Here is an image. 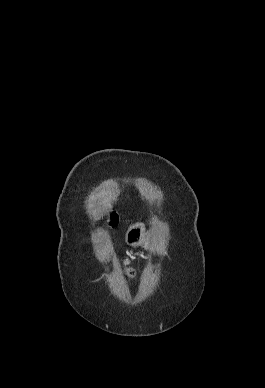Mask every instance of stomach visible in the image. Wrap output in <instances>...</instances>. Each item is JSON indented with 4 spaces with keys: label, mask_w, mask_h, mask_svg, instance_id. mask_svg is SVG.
<instances>
[{
    "label": "stomach",
    "mask_w": 265,
    "mask_h": 388,
    "mask_svg": "<svg viewBox=\"0 0 265 388\" xmlns=\"http://www.w3.org/2000/svg\"><path fill=\"white\" fill-rule=\"evenodd\" d=\"M145 225L143 223H136L128 229L126 233L125 241L129 246H147V240L145 238Z\"/></svg>",
    "instance_id": "obj_1"
}]
</instances>
